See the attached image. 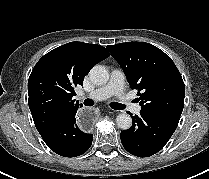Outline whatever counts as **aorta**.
Segmentation results:
<instances>
[{"mask_svg":"<svg viewBox=\"0 0 209 179\" xmlns=\"http://www.w3.org/2000/svg\"><path fill=\"white\" fill-rule=\"evenodd\" d=\"M89 78L95 85H104L109 80L108 70L101 65L94 66L89 72ZM117 126L127 130L132 125V118L127 113H121L116 117Z\"/></svg>","mask_w":209,"mask_h":179,"instance_id":"762f6f07","label":"aorta"}]
</instances>
